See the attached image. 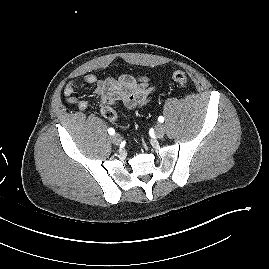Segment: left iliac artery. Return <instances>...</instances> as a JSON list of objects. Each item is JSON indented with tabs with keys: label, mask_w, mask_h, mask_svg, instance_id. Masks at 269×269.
I'll return each instance as SVG.
<instances>
[{
	"label": "left iliac artery",
	"mask_w": 269,
	"mask_h": 269,
	"mask_svg": "<svg viewBox=\"0 0 269 269\" xmlns=\"http://www.w3.org/2000/svg\"><path fill=\"white\" fill-rule=\"evenodd\" d=\"M158 121H159L160 123H163V122H164V117H163V116H159V117H158Z\"/></svg>",
	"instance_id": "44dca946"
}]
</instances>
